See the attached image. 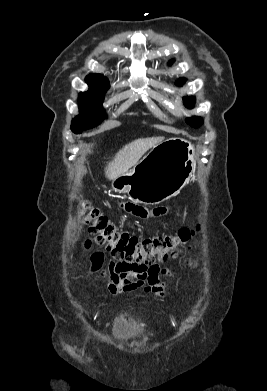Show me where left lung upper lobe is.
Masks as SVG:
<instances>
[{"instance_id":"1","label":"left lung upper lobe","mask_w":267,"mask_h":391,"mask_svg":"<svg viewBox=\"0 0 267 391\" xmlns=\"http://www.w3.org/2000/svg\"><path fill=\"white\" fill-rule=\"evenodd\" d=\"M184 81H185L184 79H179L177 81V84L181 85L184 83ZM194 102H195V100L193 97L184 98V104L188 108H192L194 105ZM186 122L196 128L202 124V119L200 117H192V118L186 119Z\"/></svg>"}]
</instances>
